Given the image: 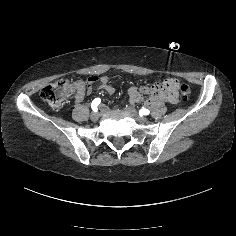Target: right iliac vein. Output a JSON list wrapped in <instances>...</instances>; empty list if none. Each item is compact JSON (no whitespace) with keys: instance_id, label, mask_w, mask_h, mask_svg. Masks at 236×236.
Segmentation results:
<instances>
[{"instance_id":"63e3f726","label":"right iliac vein","mask_w":236,"mask_h":236,"mask_svg":"<svg viewBox=\"0 0 236 236\" xmlns=\"http://www.w3.org/2000/svg\"><path fill=\"white\" fill-rule=\"evenodd\" d=\"M99 116H100V113L92 112L91 115H90V118H91L92 121H96V120H98Z\"/></svg>"}]
</instances>
